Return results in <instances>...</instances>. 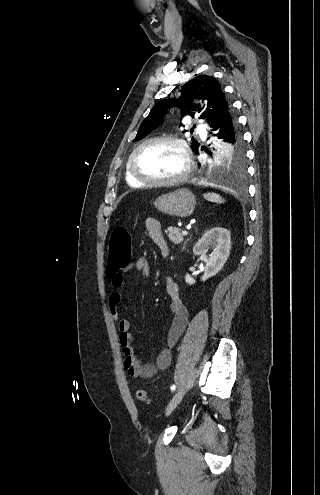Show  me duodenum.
Wrapping results in <instances>:
<instances>
[{
    "instance_id": "obj_1",
    "label": "duodenum",
    "mask_w": 320,
    "mask_h": 495,
    "mask_svg": "<svg viewBox=\"0 0 320 495\" xmlns=\"http://www.w3.org/2000/svg\"><path fill=\"white\" fill-rule=\"evenodd\" d=\"M163 253H164V254H166V253H167V251H163Z\"/></svg>"
}]
</instances>
